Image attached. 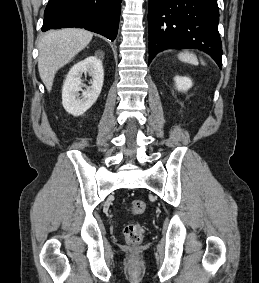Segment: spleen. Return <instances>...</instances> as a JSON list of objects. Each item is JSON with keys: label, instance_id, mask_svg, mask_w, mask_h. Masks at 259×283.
I'll use <instances>...</instances> for the list:
<instances>
[{"label": "spleen", "instance_id": "obj_1", "mask_svg": "<svg viewBox=\"0 0 259 283\" xmlns=\"http://www.w3.org/2000/svg\"><path fill=\"white\" fill-rule=\"evenodd\" d=\"M178 59L185 63L198 65V59L195 54L189 52H182L178 55ZM204 64V62H202Z\"/></svg>", "mask_w": 259, "mask_h": 283}]
</instances>
